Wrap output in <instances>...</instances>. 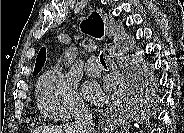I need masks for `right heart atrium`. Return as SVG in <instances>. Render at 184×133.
Returning <instances> with one entry per match:
<instances>
[{"label": "right heart atrium", "mask_w": 184, "mask_h": 133, "mask_svg": "<svg viewBox=\"0 0 184 133\" xmlns=\"http://www.w3.org/2000/svg\"><path fill=\"white\" fill-rule=\"evenodd\" d=\"M37 92L43 114L53 120H67L86 111L76 84L58 68L40 78Z\"/></svg>", "instance_id": "obj_1"}]
</instances>
